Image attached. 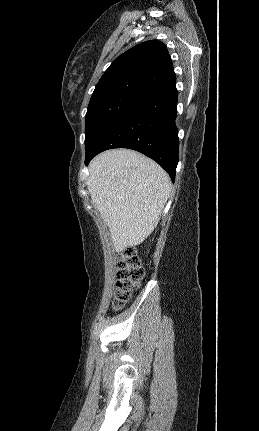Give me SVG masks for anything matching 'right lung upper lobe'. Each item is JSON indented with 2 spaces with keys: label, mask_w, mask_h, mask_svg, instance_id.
I'll return each mask as SVG.
<instances>
[{
  "label": "right lung upper lobe",
  "mask_w": 259,
  "mask_h": 431,
  "mask_svg": "<svg viewBox=\"0 0 259 431\" xmlns=\"http://www.w3.org/2000/svg\"><path fill=\"white\" fill-rule=\"evenodd\" d=\"M176 80L166 46L159 40L140 43L108 67L93 93L113 88L129 81H138L150 89Z\"/></svg>",
  "instance_id": "right-lung-upper-lobe-1"
}]
</instances>
